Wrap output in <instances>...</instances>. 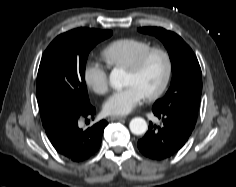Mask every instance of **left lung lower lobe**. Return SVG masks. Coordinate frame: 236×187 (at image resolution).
<instances>
[{
    "mask_svg": "<svg viewBox=\"0 0 236 187\" xmlns=\"http://www.w3.org/2000/svg\"><path fill=\"white\" fill-rule=\"evenodd\" d=\"M152 110L162 119L163 126L156 127L150 122L147 133L138 141V148L150 159L163 160L175 154L185 144L196 121L175 112Z\"/></svg>",
    "mask_w": 236,
    "mask_h": 187,
    "instance_id": "left-lung-lower-lobe-1",
    "label": "left lung lower lobe"
}]
</instances>
